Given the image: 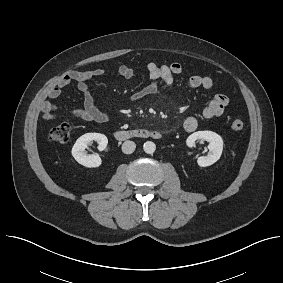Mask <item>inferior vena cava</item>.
I'll use <instances>...</instances> for the list:
<instances>
[{
  "mask_svg": "<svg viewBox=\"0 0 283 283\" xmlns=\"http://www.w3.org/2000/svg\"><path fill=\"white\" fill-rule=\"evenodd\" d=\"M136 144L133 141H125L122 144V152L125 154H131L134 152Z\"/></svg>",
  "mask_w": 283,
  "mask_h": 283,
  "instance_id": "obj_1",
  "label": "inferior vena cava"
}]
</instances>
